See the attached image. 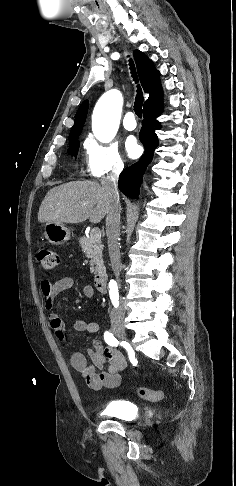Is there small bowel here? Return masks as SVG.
<instances>
[{
  "mask_svg": "<svg viewBox=\"0 0 236 486\" xmlns=\"http://www.w3.org/2000/svg\"><path fill=\"white\" fill-rule=\"evenodd\" d=\"M75 280L71 277H63L52 283L48 280L41 282V291L44 299V306L49 314L50 324L57 336L62 339L68 331L87 332L90 334L99 331L97 322H88L83 319H77L68 328L63 319L55 312L54 299L62 292L73 288ZM85 296L94 295V290L89 285L82 287ZM92 349L87 350L90 362L85 355L80 352H74L70 356L71 366L82 376L86 385L92 390H101L102 388H115L121 382L120 373L126 368V360L123 355L111 347H104L100 340H92Z\"/></svg>",
  "mask_w": 236,
  "mask_h": 486,
  "instance_id": "obj_1",
  "label": "small bowel"
}]
</instances>
